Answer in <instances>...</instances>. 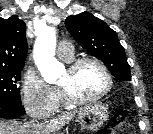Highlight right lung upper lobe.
I'll return each instance as SVG.
<instances>
[{
	"instance_id": "cb5924a9",
	"label": "right lung upper lobe",
	"mask_w": 153,
	"mask_h": 134,
	"mask_svg": "<svg viewBox=\"0 0 153 134\" xmlns=\"http://www.w3.org/2000/svg\"><path fill=\"white\" fill-rule=\"evenodd\" d=\"M26 25L12 16L0 18V67H24L27 55Z\"/></svg>"
}]
</instances>
